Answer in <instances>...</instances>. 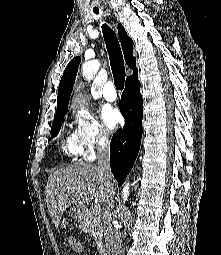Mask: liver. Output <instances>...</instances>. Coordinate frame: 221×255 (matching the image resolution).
Instances as JSON below:
<instances>
[{
	"mask_svg": "<svg viewBox=\"0 0 221 255\" xmlns=\"http://www.w3.org/2000/svg\"><path fill=\"white\" fill-rule=\"evenodd\" d=\"M114 182L92 163H76L53 171L45 196L52 222L59 227L65 209L71 205L85 208L92 200L106 206L113 197Z\"/></svg>",
	"mask_w": 221,
	"mask_h": 255,
	"instance_id": "6515ba94",
	"label": "liver"
}]
</instances>
